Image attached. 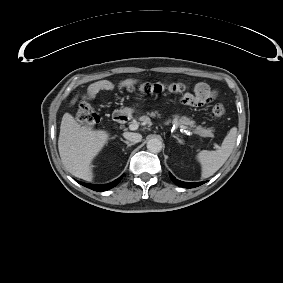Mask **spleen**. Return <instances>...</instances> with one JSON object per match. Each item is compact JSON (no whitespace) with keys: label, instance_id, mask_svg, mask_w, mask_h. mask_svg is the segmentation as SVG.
I'll return each mask as SVG.
<instances>
[{"label":"spleen","instance_id":"obj_1","mask_svg":"<svg viewBox=\"0 0 283 283\" xmlns=\"http://www.w3.org/2000/svg\"><path fill=\"white\" fill-rule=\"evenodd\" d=\"M237 129L232 128L230 133L226 136L223 146L219 151H206L204 153V162L208 176L215 173L226 161L233 150Z\"/></svg>","mask_w":283,"mask_h":283}]
</instances>
